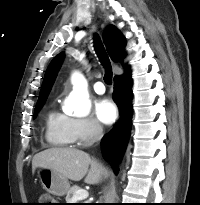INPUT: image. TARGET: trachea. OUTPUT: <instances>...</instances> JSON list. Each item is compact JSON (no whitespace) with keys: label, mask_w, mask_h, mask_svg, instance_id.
<instances>
[{"label":"trachea","mask_w":200,"mask_h":205,"mask_svg":"<svg viewBox=\"0 0 200 205\" xmlns=\"http://www.w3.org/2000/svg\"><path fill=\"white\" fill-rule=\"evenodd\" d=\"M95 38L96 39L94 41V48H95L96 54H97L101 64L105 68L104 81L107 84H111L113 74H112V67H111L110 60L108 58V55L106 53V50H105L100 38L98 36H96Z\"/></svg>","instance_id":"trachea-1"}]
</instances>
